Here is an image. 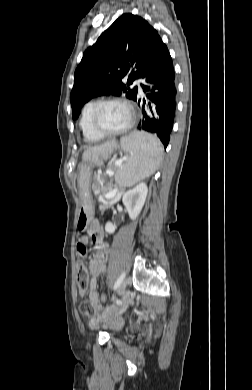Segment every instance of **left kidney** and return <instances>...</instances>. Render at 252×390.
Instances as JSON below:
<instances>
[{
  "label": "left kidney",
  "instance_id": "obj_1",
  "mask_svg": "<svg viewBox=\"0 0 252 390\" xmlns=\"http://www.w3.org/2000/svg\"><path fill=\"white\" fill-rule=\"evenodd\" d=\"M147 185L145 183H140L133 189L125 192L123 194V204L125 205L127 212L129 214V217L134 220L137 218L139 213L141 212L146 196H147ZM116 227L111 223L107 222L105 225V230L109 234H112L115 232Z\"/></svg>",
  "mask_w": 252,
  "mask_h": 390
}]
</instances>
